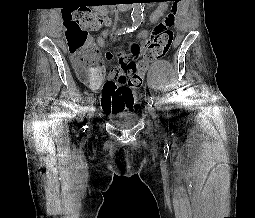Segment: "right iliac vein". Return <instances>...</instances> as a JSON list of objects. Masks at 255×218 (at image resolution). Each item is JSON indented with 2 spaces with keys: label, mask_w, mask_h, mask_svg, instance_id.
<instances>
[{
  "label": "right iliac vein",
  "mask_w": 255,
  "mask_h": 218,
  "mask_svg": "<svg viewBox=\"0 0 255 218\" xmlns=\"http://www.w3.org/2000/svg\"><path fill=\"white\" fill-rule=\"evenodd\" d=\"M94 112H95V108L93 106V104L91 105L90 109H89V120L92 121L93 117H94Z\"/></svg>",
  "instance_id": "obj_1"
}]
</instances>
